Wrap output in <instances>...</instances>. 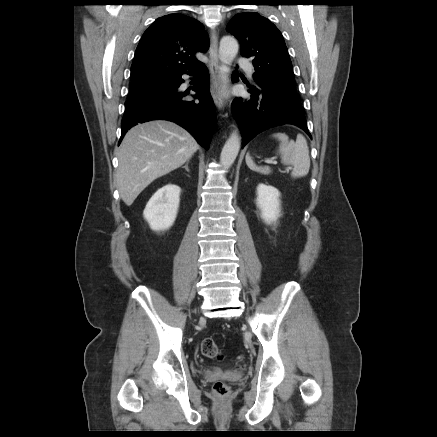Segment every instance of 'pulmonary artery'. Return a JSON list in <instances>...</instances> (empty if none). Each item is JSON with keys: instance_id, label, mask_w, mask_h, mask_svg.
<instances>
[{"instance_id": "1", "label": "pulmonary artery", "mask_w": 437, "mask_h": 437, "mask_svg": "<svg viewBox=\"0 0 437 437\" xmlns=\"http://www.w3.org/2000/svg\"><path fill=\"white\" fill-rule=\"evenodd\" d=\"M238 65L241 68L245 69L248 72L249 75L253 74V71H254L253 66H252V64L247 59L240 58L238 60Z\"/></svg>"}]
</instances>
